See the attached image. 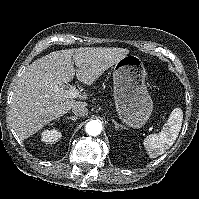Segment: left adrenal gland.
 I'll return each instance as SVG.
<instances>
[{"mask_svg":"<svg viewBox=\"0 0 199 199\" xmlns=\"http://www.w3.org/2000/svg\"><path fill=\"white\" fill-rule=\"evenodd\" d=\"M112 123L115 125L116 129L123 128V126L117 123L114 119H112Z\"/></svg>","mask_w":199,"mask_h":199,"instance_id":"left-adrenal-gland-1","label":"left adrenal gland"}]
</instances>
